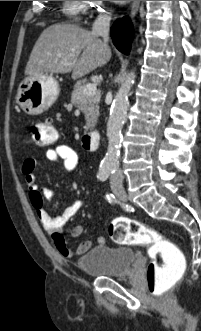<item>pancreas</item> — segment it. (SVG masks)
Listing matches in <instances>:
<instances>
[{
  "label": "pancreas",
  "instance_id": "obj_1",
  "mask_svg": "<svg viewBox=\"0 0 201 331\" xmlns=\"http://www.w3.org/2000/svg\"><path fill=\"white\" fill-rule=\"evenodd\" d=\"M85 85H78L74 88L71 96V102L85 114L86 125L85 130L93 128L99 116L100 94L96 93L91 96H86L83 93Z\"/></svg>",
  "mask_w": 201,
  "mask_h": 331
}]
</instances>
